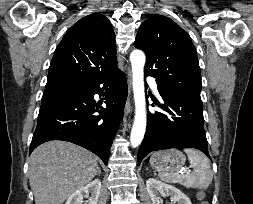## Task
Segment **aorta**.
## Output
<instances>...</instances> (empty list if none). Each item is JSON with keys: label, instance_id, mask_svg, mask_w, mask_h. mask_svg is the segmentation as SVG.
Returning <instances> with one entry per match:
<instances>
[{"label": "aorta", "instance_id": "obj_1", "mask_svg": "<svg viewBox=\"0 0 253 204\" xmlns=\"http://www.w3.org/2000/svg\"><path fill=\"white\" fill-rule=\"evenodd\" d=\"M133 76V92L135 100V120L131 131L130 142L137 147L143 140L146 129V108L144 91V65L145 54L134 50L130 55Z\"/></svg>", "mask_w": 253, "mask_h": 204}]
</instances>
